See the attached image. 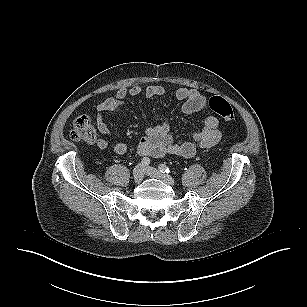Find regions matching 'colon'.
<instances>
[{
	"instance_id": "1",
	"label": "colon",
	"mask_w": 307,
	"mask_h": 307,
	"mask_svg": "<svg viewBox=\"0 0 307 307\" xmlns=\"http://www.w3.org/2000/svg\"><path fill=\"white\" fill-rule=\"evenodd\" d=\"M208 107L226 121H233L235 119L231 105L222 97L214 96L210 98ZM70 137L74 141L90 143L97 141L96 130L89 117L79 116L74 120Z\"/></svg>"
}]
</instances>
